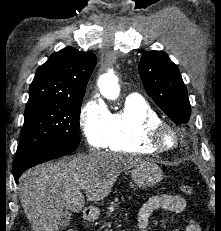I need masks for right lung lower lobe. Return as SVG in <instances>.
<instances>
[{
    "label": "right lung lower lobe",
    "instance_id": "right-lung-lower-lobe-1",
    "mask_svg": "<svg viewBox=\"0 0 221 231\" xmlns=\"http://www.w3.org/2000/svg\"><path fill=\"white\" fill-rule=\"evenodd\" d=\"M75 149L76 148L73 147L44 148L29 153L18 162L13 163L14 179L16 183L18 182L21 174L27 169L45 161L65 156L73 152Z\"/></svg>",
    "mask_w": 221,
    "mask_h": 231
}]
</instances>
